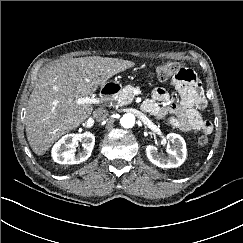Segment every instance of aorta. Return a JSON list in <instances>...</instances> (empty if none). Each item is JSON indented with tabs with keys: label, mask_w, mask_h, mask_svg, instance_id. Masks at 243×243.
I'll return each mask as SVG.
<instances>
[{
	"label": "aorta",
	"mask_w": 243,
	"mask_h": 243,
	"mask_svg": "<svg viewBox=\"0 0 243 243\" xmlns=\"http://www.w3.org/2000/svg\"><path fill=\"white\" fill-rule=\"evenodd\" d=\"M123 128H132L135 125V116L131 113L124 114L120 119Z\"/></svg>",
	"instance_id": "aorta-1"
}]
</instances>
